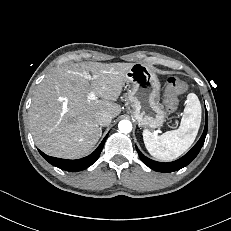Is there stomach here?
<instances>
[{
	"mask_svg": "<svg viewBox=\"0 0 231 231\" xmlns=\"http://www.w3.org/2000/svg\"><path fill=\"white\" fill-rule=\"evenodd\" d=\"M125 82L132 84L128 96L138 125L146 129L162 126L166 113L159 103L160 83L154 68L145 63H134L125 75Z\"/></svg>",
	"mask_w": 231,
	"mask_h": 231,
	"instance_id": "1",
	"label": "stomach"
}]
</instances>
